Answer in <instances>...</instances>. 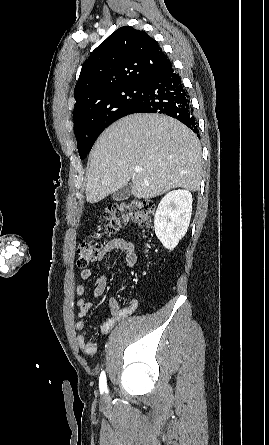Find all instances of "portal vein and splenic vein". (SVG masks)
I'll list each match as a JSON object with an SVG mask.
<instances>
[{"label":"portal vein and splenic vein","mask_w":269,"mask_h":445,"mask_svg":"<svg viewBox=\"0 0 269 445\" xmlns=\"http://www.w3.org/2000/svg\"><path fill=\"white\" fill-rule=\"evenodd\" d=\"M134 170H135V172H140L141 168L140 167H135Z\"/></svg>","instance_id":"portal-vein-and-splenic-vein-1"}]
</instances>
